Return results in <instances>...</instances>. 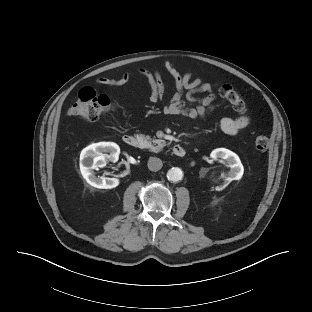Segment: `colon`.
<instances>
[{"label": "colon", "mask_w": 312, "mask_h": 312, "mask_svg": "<svg viewBox=\"0 0 312 312\" xmlns=\"http://www.w3.org/2000/svg\"><path fill=\"white\" fill-rule=\"evenodd\" d=\"M220 95L232 105L238 114H245L247 104L244 97L231 85L221 86ZM113 107L111 100L104 95H97L90 87L80 90L78 98L69 109L71 116L87 119L90 121L98 120L102 115L110 111ZM257 151H266L269 147V138L265 135L258 136L254 141Z\"/></svg>", "instance_id": "obj_1"}]
</instances>
